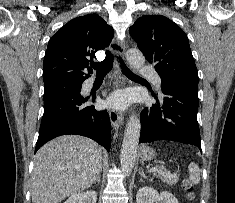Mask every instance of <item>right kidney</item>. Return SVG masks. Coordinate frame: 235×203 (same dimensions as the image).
<instances>
[{
  "instance_id": "right-kidney-1",
  "label": "right kidney",
  "mask_w": 235,
  "mask_h": 203,
  "mask_svg": "<svg viewBox=\"0 0 235 203\" xmlns=\"http://www.w3.org/2000/svg\"><path fill=\"white\" fill-rule=\"evenodd\" d=\"M96 201V192L93 190H89L83 193L72 195L64 203H96Z\"/></svg>"
}]
</instances>
